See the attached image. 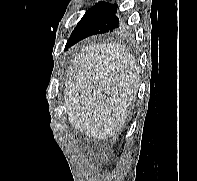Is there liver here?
Returning <instances> with one entry per match:
<instances>
[{
	"instance_id": "liver-1",
	"label": "liver",
	"mask_w": 197,
	"mask_h": 181,
	"mask_svg": "<svg viewBox=\"0 0 197 181\" xmlns=\"http://www.w3.org/2000/svg\"><path fill=\"white\" fill-rule=\"evenodd\" d=\"M140 67L119 43L84 46L68 69L64 102L70 124L90 138L116 137L140 82Z\"/></svg>"
}]
</instances>
